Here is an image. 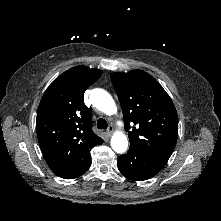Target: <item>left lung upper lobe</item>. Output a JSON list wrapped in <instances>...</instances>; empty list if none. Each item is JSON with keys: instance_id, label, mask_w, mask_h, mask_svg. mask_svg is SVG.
<instances>
[{"instance_id": "left-lung-upper-lobe-1", "label": "left lung upper lobe", "mask_w": 221, "mask_h": 221, "mask_svg": "<svg viewBox=\"0 0 221 221\" xmlns=\"http://www.w3.org/2000/svg\"><path fill=\"white\" fill-rule=\"evenodd\" d=\"M111 80L130 147L167 162L178 137V116L170 96L142 70L112 73Z\"/></svg>"}]
</instances>
